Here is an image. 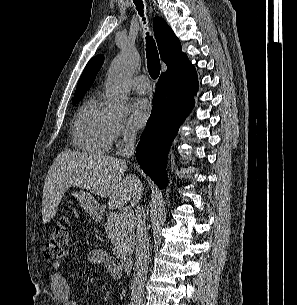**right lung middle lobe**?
Masks as SVG:
<instances>
[{
  "instance_id": "1",
  "label": "right lung middle lobe",
  "mask_w": 297,
  "mask_h": 305,
  "mask_svg": "<svg viewBox=\"0 0 297 305\" xmlns=\"http://www.w3.org/2000/svg\"><path fill=\"white\" fill-rule=\"evenodd\" d=\"M80 100H81V98H80V99L73 100V104H77Z\"/></svg>"
}]
</instances>
